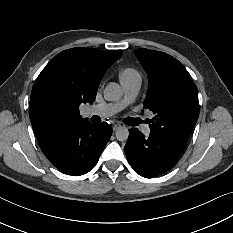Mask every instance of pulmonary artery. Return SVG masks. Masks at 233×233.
Instances as JSON below:
<instances>
[{
  "instance_id": "obj_1",
  "label": "pulmonary artery",
  "mask_w": 233,
  "mask_h": 233,
  "mask_svg": "<svg viewBox=\"0 0 233 233\" xmlns=\"http://www.w3.org/2000/svg\"><path fill=\"white\" fill-rule=\"evenodd\" d=\"M141 83H123L122 88L126 95L124 101L116 103V104H105V105H98L93 106L88 110V115H99L101 117H107L112 115L114 112L122 109L127 104L133 102L138 95L140 90ZM141 131L144 135H149L151 133V129L148 125H143L141 127Z\"/></svg>"
}]
</instances>
